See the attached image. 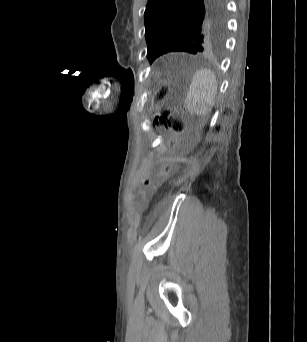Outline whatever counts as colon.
Here are the masks:
<instances>
[{"instance_id":"colon-1","label":"colon","mask_w":307,"mask_h":342,"mask_svg":"<svg viewBox=\"0 0 307 342\" xmlns=\"http://www.w3.org/2000/svg\"><path fill=\"white\" fill-rule=\"evenodd\" d=\"M152 93L156 94V102L161 104L166 98V94H171V87H153ZM154 124L157 128H162L168 130L172 137L170 139V144L175 146L179 143L178 136L182 134L185 129V123L176 115L172 114L166 107L161 106L154 115ZM162 175L166 176L169 174L168 165L162 166ZM152 189H156V186L147 180L146 183Z\"/></svg>"}]
</instances>
